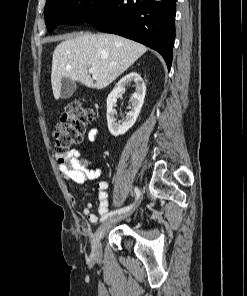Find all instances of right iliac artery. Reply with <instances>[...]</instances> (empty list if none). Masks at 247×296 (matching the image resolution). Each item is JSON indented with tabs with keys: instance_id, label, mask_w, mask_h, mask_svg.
<instances>
[{
	"instance_id": "obj_1",
	"label": "right iliac artery",
	"mask_w": 247,
	"mask_h": 296,
	"mask_svg": "<svg viewBox=\"0 0 247 296\" xmlns=\"http://www.w3.org/2000/svg\"><path fill=\"white\" fill-rule=\"evenodd\" d=\"M134 191H135V194H136V200H138L140 198L141 192L137 187H135ZM133 205L134 204H132L130 206L123 207V208L115 210V211H111L107 215L102 216L100 221L101 222L105 221L107 218L112 217L113 215H116V214L125 213V212L129 211L133 207Z\"/></svg>"
}]
</instances>
